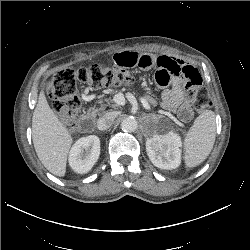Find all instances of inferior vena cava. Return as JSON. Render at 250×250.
I'll return each instance as SVG.
<instances>
[{
    "label": "inferior vena cava",
    "mask_w": 250,
    "mask_h": 250,
    "mask_svg": "<svg viewBox=\"0 0 250 250\" xmlns=\"http://www.w3.org/2000/svg\"><path fill=\"white\" fill-rule=\"evenodd\" d=\"M115 119V114L112 112L106 113L101 116L97 121V128L99 130H107L111 127Z\"/></svg>",
    "instance_id": "602c4592"
}]
</instances>
